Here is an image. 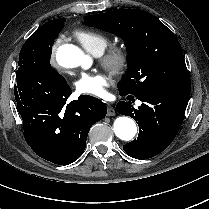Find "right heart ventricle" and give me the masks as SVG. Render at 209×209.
I'll use <instances>...</instances> for the list:
<instances>
[{"mask_svg": "<svg viewBox=\"0 0 209 209\" xmlns=\"http://www.w3.org/2000/svg\"><path fill=\"white\" fill-rule=\"evenodd\" d=\"M76 38L87 51L93 54L102 53L108 43V39L103 33L92 29L78 31Z\"/></svg>", "mask_w": 209, "mask_h": 209, "instance_id": "e07e8e85", "label": "right heart ventricle"}]
</instances>
